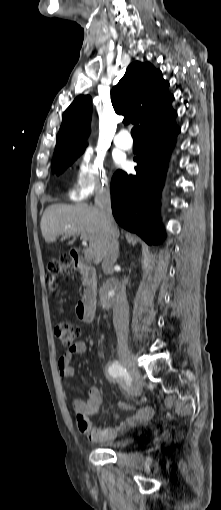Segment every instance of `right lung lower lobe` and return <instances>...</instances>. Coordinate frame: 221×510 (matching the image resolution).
Here are the masks:
<instances>
[{"mask_svg":"<svg viewBox=\"0 0 221 510\" xmlns=\"http://www.w3.org/2000/svg\"><path fill=\"white\" fill-rule=\"evenodd\" d=\"M174 118L141 132V154L136 175L118 170L111 181V202L115 220L146 243H160L164 229L159 218V195L164 185L168 159L180 129Z\"/></svg>","mask_w":221,"mask_h":510,"instance_id":"obj_1","label":"right lung lower lobe"}]
</instances>
